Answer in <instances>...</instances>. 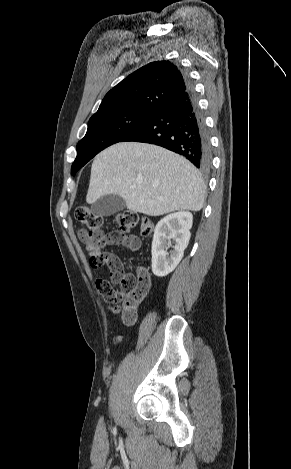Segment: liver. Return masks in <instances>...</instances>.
Masks as SVG:
<instances>
[{
    "mask_svg": "<svg viewBox=\"0 0 291 469\" xmlns=\"http://www.w3.org/2000/svg\"><path fill=\"white\" fill-rule=\"evenodd\" d=\"M205 193L201 174L182 156L151 144L120 142L95 157L86 201L116 194L130 211L160 216L200 211Z\"/></svg>",
    "mask_w": 291,
    "mask_h": 469,
    "instance_id": "6515ba94",
    "label": "liver"
}]
</instances>
